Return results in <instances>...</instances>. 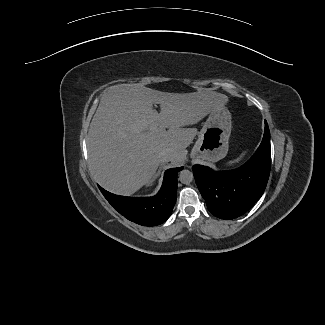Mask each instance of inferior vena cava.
<instances>
[{
  "label": "inferior vena cava",
  "instance_id": "obj_1",
  "mask_svg": "<svg viewBox=\"0 0 325 325\" xmlns=\"http://www.w3.org/2000/svg\"><path fill=\"white\" fill-rule=\"evenodd\" d=\"M172 158H173V154H172V152H170V151H162V152L160 153V160H161L162 162L171 161Z\"/></svg>",
  "mask_w": 325,
  "mask_h": 325
}]
</instances>
